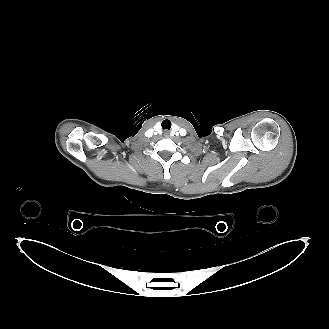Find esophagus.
<instances>
[{
  "label": "esophagus",
  "mask_w": 329,
  "mask_h": 329,
  "mask_svg": "<svg viewBox=\"0 0 329 329\" xmlns=\"http://www.w3.org/2000/svg\"><path fill=\"white\" fill-rule=\"evenodd\" d=\"M165 136L168 137L169 136V132L168 131H165Z\"/></svg>",
  "instance_id": "esophagus-1"
}]
</instances>
